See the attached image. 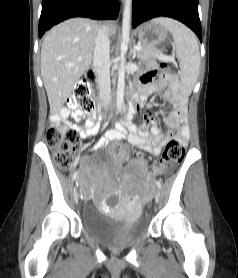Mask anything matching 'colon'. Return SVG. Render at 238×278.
I'll return each mask as SVG.
<instances>
[{
  "mask_svg": "<svg viewBox=\"0 0 238 278\" xmlns=\"http://www.w3.org/2000/svg\"><path fill=\"white\" fill-rule=\"evenodd\" d=\"M161 69L162 79L165 80L173 77L172 70L166 63L161 65ZM66 109L82 114H88L93 111L94 103L90 96L89 85L86 81H80L75 86L73 93L67 99ZM46 137L56 164L61 168L68 167L79 147L78 131L74 128H67L65 130L50 128L47 131ZM110 153L117 159H121L128 154L127 149L119 143L110 146ZM184 155V146L176 140H171L166 145L159 160L158 171L161 173L168 172L183 160Z\"/></svg>",
  "mask_w": 238,
  "mask_h": 278,
  "instance_id": "1",
  "label": "colon"
}]
</instances>
